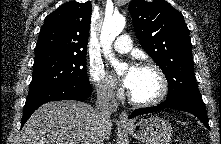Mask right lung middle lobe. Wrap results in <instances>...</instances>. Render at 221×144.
Returning a JSON list of instances; mask_svg holds the SVG:
<instances>
[{"mask_svg": "<svg viewBox=\"0 0 221 144\" xmlns=\"http://www.w3.org/2000/svg\"><path fill=\"white\" fill-rule=\"evenodd\" d=\"M85 66L86 54H35L33 77L26 100L59 85L89 86Z\"/></svg>", "mask_w": 221, "mask_h": 144, "instance_id": "dd1d6c3e", "label": "right lung middle lobe"}]
</instances>
